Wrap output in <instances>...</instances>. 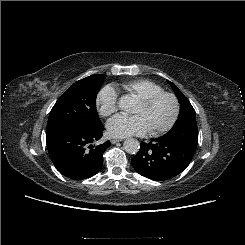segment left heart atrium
<instances>
[{
  "instance_id": "left-heart-atrium-1",
  "label": "left heart atrium",
  "mask_w": 245,
  "mask_h": 245,
  "mask_svg": "<svg viewBox=\"0 0 245 245\" xmlns=\"http://www.w3.org/2000/svg\"><path fill=\"white\" fill-rule=\"evenodd\" d=\"M148 129L143 119L138 116L118 115L107 123V133L111 137L123 138L133 135H144Z\"/></svg>"
}]
</instances>
